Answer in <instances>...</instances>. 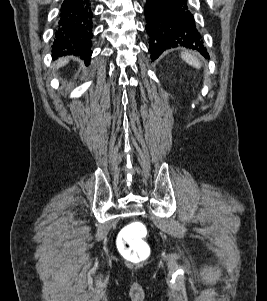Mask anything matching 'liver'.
I'll return each instance as SVG.
<instances>
[{
    "label": "liver",
    "mask_w": 267,
    "mask_h": 301,
    "mask_svg": "<svg viewBox=\"0 0 267 301\" xmlns=\"http://www.w3.org/2000/svg\"><path fill=\"white\" fill-rule=\"evenodd\" d=\"M69 59L68 58H61L57 61L56 67L60 68L68 63Z\"/></svg>",
    "instance_id": "6515ba94"
}]
</instances>
